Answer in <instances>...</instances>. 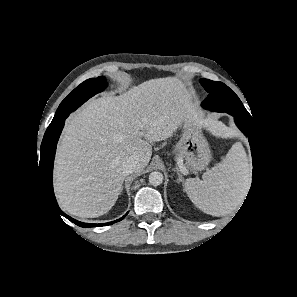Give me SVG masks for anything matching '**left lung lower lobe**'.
<instances>
[{
	"label": "left lung lower lobe",
	"instance_id": "1",
	"mask_svg": "<svg viewBox=\"0 0 297 297\" xmlns=\"http://www.w3.org/2000/svg\"><path fill=\"white\" fill-rule=\"evenodd\" d=\"M234 120L238 128L248 137L252 158H253V173L256 172L258 165V141L256 138L255 126L252 121L243 120L237 116H234ZM250 191V190H249Z\"/></svg>",
	"mask_w": 297,
	"mask_h": 297
}]
</instances>
